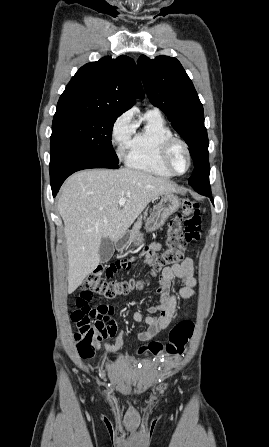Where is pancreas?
<instances>
[{
    "label": "pancreas",
    "instance_id": "1",
    "mask_svg": "<svg viewBox=\"0 0 269 447\" xmlns=\"http://www.w3.org/2000/svg\"><path fill=\"white\" fill-rule=\"evenodd\" d=\"M147 216V210L144 212V216H140L138 222H135L132 229H130L131 237H135L136 233H139V229H141L142 220H145Z\"/></svg>",
    "mask_w": 269,
    "mask_h": 447
}]
</instances>
